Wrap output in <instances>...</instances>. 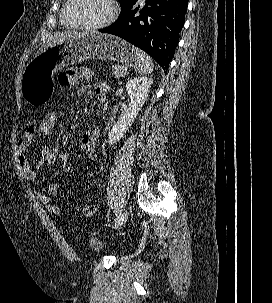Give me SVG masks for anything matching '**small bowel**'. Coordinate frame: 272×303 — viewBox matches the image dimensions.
Returning a JSON list of instances; mask_svg holds the SVG:
<instances>
[{
  "label": "small bowel",
  "instance_id": "obj_1",
  "mask_svg": "<svg viewBox=\"0 0 272 303\" xmlns=\"http://www.w3.org/2000/svg\"><path fill=\"white\" fill-rule=\"evenodd\" d=\"M93 72L85 68L70 69L59 75V82L63 86H74L78 81L83 78L90 77ZM96 95L103 93L106 94L105 86L102 83H97ZM37 135V123L35 121L29 122L17 143V155L20 168L29 181H35L36 172L31 167L32 156L29 154L30 145ZM99 136V129L97 127L90 128L81 137L79 147L88 159H95L97 157L96 140ZM57 156L54 150L50 147H43L39 152V160L36 165L37 170L45 169L56 163ZM91 176L92 173H89ZM59 185L50 183L48 185L47 193L36 192V197L49 212L58 215L61 208L52 204L53 197L58 193Z\"/></svg>",
  "mask_w": 272,
  "mask_h": 303
}]
</instances>
